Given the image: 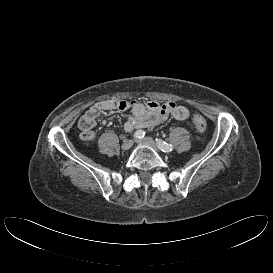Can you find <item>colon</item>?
Wrapping results in <instances>:
<instances>
[{"mask_svg": "<svg viewBox=\"0 0 273 273\" xmlns=\"http://www.w3.org/2000/svg\"><path fill=\"white\" fill-rule=\"evenodd\" d=\"M192 121L198 131L204 132L207 129V121L202 115L195 114Z\"/></svg>", "mask_w": 273, "mask_h": 273, "instance_id": "colon-1", "label": "colon"}]
</instances>
